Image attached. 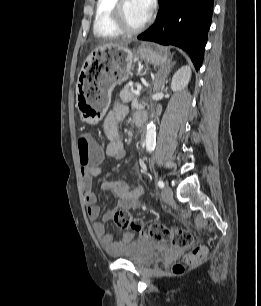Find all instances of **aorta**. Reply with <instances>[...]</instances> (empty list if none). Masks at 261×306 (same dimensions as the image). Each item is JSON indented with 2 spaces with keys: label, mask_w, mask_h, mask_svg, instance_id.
<instances>
[{
  "label": "aorta",
  "mask_w": 261,
  "mask_h": 306,
  "mask_svg": "<svg viewBox=\"0 0 261 306\" xmlns=\"http://www.w3.org/2000/svg\"><path fill=\"white\" fill-rule=\"evenodd\" d=\"M155 125L153 122H150L147 125V132H146V149L151 152L155 147Z\"/></svg>",
  "instance_id": "762f6f07"
}]
</instances>
